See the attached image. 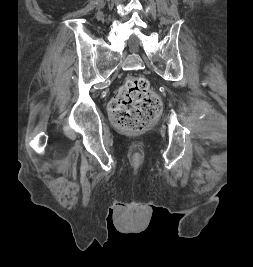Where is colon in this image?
Wrapping results in <instances>:
<instances>
[{
	"label": "colon",
	"instance_id": "colon-1",
	"mask_svg": "<svg viewBox=\"0 0 253 267\" xmlns=\"http://www.w3.org/2000/svg\"><path fill=\"white\" fill-rule=\"evenodd\" d=\"M114 125L128 133L145 129L161 112L159 97L142 76H130L109 104Z\"/></svg>",
	"mask_w": 253,
	"mask_h": 267
}]
</instances>
